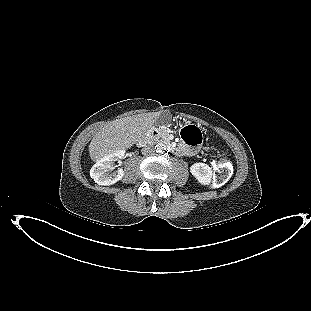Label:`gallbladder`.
Returning a JSON list of instances; mask_svg holds the SVG:
<instances>
[{
  "label": "gallbladder",
  "mask_w": 311,
  "mask_h": 311,
  "mask_svg": "<svg viewBox=\"0 0 311 311\" xmlns=\"http://www.w3.org/2000/svg\"><path fill=\"white\" fill-rule=\"evenodd\" d=\"M172 115L169 111H162L157 119V124L168 125L171 122Z\"/></svg>",
  "instance_id": "obj_1"
}]
</instances>
